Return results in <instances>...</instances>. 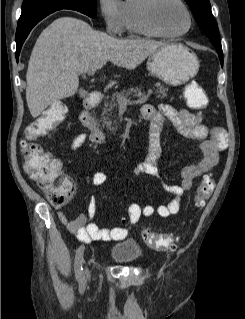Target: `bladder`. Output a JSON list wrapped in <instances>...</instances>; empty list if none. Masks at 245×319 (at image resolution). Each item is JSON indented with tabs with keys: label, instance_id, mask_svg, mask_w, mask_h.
I'll list each match as a JSON object with an SVG mask.
<instances>
[{
	"label": "bladder",
	"instance_id": "bladder-1",
	"mask_svg": "<svg viewBox=\"0 0 245 319\" xmlns=\"http://www.w3.org/2000/svg\"><path fill=\"white\" fill-rule=\"evenodd\" d=\"M111 258L117 263L131 264L142 257V250L138 242L132 238L119 240L110 250Z\"/></svg>",
	"mask_w": 245,
	"mask_h": 319
}]
</instances>
